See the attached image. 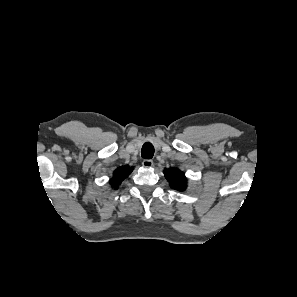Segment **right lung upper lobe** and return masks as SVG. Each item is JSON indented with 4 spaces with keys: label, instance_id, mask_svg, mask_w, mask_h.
<instances>
[{
    "label": "right lung upper lobe",
    "instance_id": "obj_1",
    "mask_svg": "<svg viewBox=\"0 0 297 297\" xmlns=\"http://www.w3.org/2000/svg\"><path fill=\"white\" fill-rule=\"evenodd\" d=\"M132 168L130 167H120L114 172V176L110 180V184L114 189H117L121 182L130 175Z\"/></svg>",
    "mask_w": 297,
    "mask_h": 297
}]
</instances>
